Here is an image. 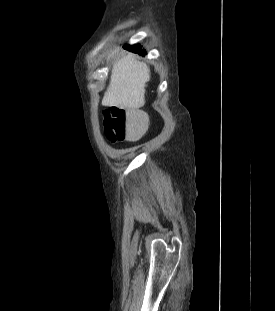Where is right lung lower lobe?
<instances>
[{
	"mask_svg": "<svg viewBox=\"0 0 275 311\" xmlns=\"http://www.w3.org/2000/svg\"><path fill=\"white\" fill-rule=\"evenodd\" d=\"M125 49L131 51V52H135V53H139L141 55H145L146 52L144 49H142L140 46H136V45H125L124 46Z\"/></svg>",
	"mask_w": 275,
	"mask_h": 311,
	"instance_id": "obj_1",
	"label": "right lung lower lobe"
}]
</instances>
